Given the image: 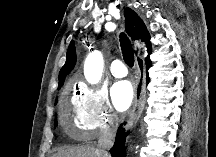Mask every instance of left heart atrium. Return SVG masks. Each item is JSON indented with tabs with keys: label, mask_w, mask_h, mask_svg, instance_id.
<instances>
[{
	"label": "left heart atrium",
	"mask_w": 216,
	"mask_h": 157,
	"mask_svg": "<svg viewBox=\"0 0 216 157\" xmlns=\"http://www.w3.org/2000/svg\"><path fill=\"white\" fill-rule=\"evenodd\" d=\"M111 98L115 108L119 111L127 110L134 98V89L129 81H120L113 85Z\"/></svg>",
	"instance_id": "39dd6f15"
}]
</instances>
